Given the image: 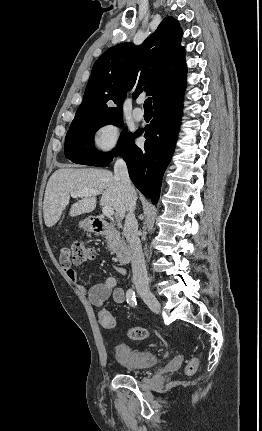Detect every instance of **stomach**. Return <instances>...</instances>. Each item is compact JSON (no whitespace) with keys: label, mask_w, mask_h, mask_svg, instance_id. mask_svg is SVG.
<instances>
[{"label":"stomach","mask_w":262,"mask_h":431,"mask_svg":"<svg viewBox=\"0 0 262 431\" xmlns=\"http://www.w3.org/2000/svg\"><path fill=\"white\" fill-rule=\"evenodd\" d=\"M79 227L88 232H92L94 230L91 218H86L85 220L80 221Z\"/></svg>","instance_id":"obj_1"}]
</instances>
